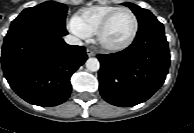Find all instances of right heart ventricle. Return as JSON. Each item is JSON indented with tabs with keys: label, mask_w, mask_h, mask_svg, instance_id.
<instances>
[{
	"label": "right heart ventricle",
	"mask_w": 194,
	"mask_h": 133,
	"mask_svg": "<svg viewBox=\"0 0 194 133\" xmlns=\"http://www.w3.org/2000/svg\"><path fill=\"white\" fill-rule=\"evenodd\" d=\"M115 8H95L84 12L81 15L82 21L91 30H96L102 22L115 12Z\"/></svg>",
	"instance_id": "obj_1"
}]
</instances>
